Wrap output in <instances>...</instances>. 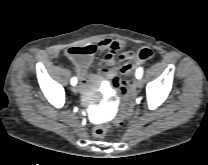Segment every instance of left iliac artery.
Listing matches in <instances>:
<instances>
[{"label":"left iliac artery","mask_w":208,"mask_h":165,"mask_svg":"<svg viewBox=\"0 0 208 165\" xmlns=\"http://www.w3.org/2000/svg\"><path fill=\"white\" fill-rule=\"evenodd\" d=\"M142 74H143V69L142 68H138L137 71H136V77L138 79H140L142 77Z\"/></svg>","instance_id":"44dca946"}]
</instances>
